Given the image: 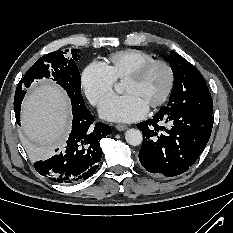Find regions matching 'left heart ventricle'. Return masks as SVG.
Masks as SVG:
<instances>
[{
  "mask_svg": "<svg viewBox=\"0 0 233 233\" xmlns=\"http://www.w3.org/2000/svg\"><path fill=\"white\" fill-rule=\"evenodd\" d=\"M167 85V73L162 66H154L137 81H124L123 91L135 95L147 107L160 98Z\"/></svg>",
  "mask_w": 233,
  "mask_h": 233,
  "instance_id": "1",
  "label": "left heart ventricle"
}]
</instances>
